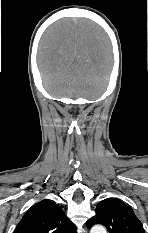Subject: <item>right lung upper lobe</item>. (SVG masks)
Returning a JSON list of instances; mask_svg holds the SVG:
<instances>
[{
    "mask_svg": "<svg viewBox=\"0 0 148 233\" xmlns=\"http://www.w3.org/2000/svg\"><path fill=\"white\" fill-rule=\"evenodd\" d=\"M13 233H76V227L55 201L45 199L25 213Z\"/></svg>",
    "mask_w": 148,
    "mask_h": 233,
    "instance_id": "cb5924a9",
    "label": "right lung upper lobe"
}]
</instances>
